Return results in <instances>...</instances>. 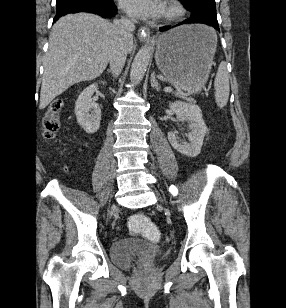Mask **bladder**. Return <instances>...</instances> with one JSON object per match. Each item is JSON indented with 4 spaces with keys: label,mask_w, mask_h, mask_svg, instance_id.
I'll return each instance as SVG.
<instances>
[{
    "label": "bladder",
    "mask_w": 286,
    "mask_h": 308,
    "mask_svg": "<svg viewBox=\"0 0 286 308\" xmlns=\"http://www.w3.org/2000/svg\"><path fill=\"white\" fill-rule=\"evenodd\" d=\"M143 244L133 239H120L113 243L111 247V255L113 261L122 267H131L133 257ZM154 259L156 261L164 260L168 257V252L163 248L153 249Z\"/></svg>",
    "instance_id": "obj_1"
}]
</instances>
